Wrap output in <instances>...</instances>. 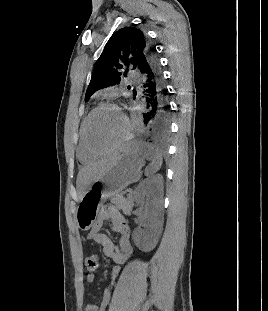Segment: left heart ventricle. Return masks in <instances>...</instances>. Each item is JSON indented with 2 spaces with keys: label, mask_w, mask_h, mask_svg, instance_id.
<instances>
[{
  "label": "left heart ventricle",
  "mask_w": 268,
  "mask_h": 311,
  "mask_svg": "<svg viewBox=\"0 0 268 311\" xmlns=\"http://www.w3.org/2000/svg\"><path fill=\"white\" fill-rule=\"evenodd\" d=\"M124 132L122 115L113 108H104L98 111L89 125V141L99 151L113 146Z\"/></svg>",
  "instance_id": "1"
}]
</instances>
